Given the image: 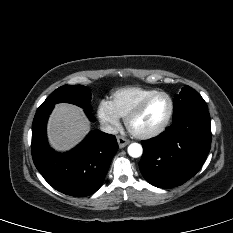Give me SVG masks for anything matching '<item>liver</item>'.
Masks as SVG:
<instances>
[{
	"label": "liver",
	"mask_w": 233,
	"mask_h": 233,
	"mask_svg": "<svg viewBox=\"0 0 233 233\" xmlns=\"http://www.w3.org/2000/svg\"><path fill=\"white\" fill-rule=\"evenodd\" d=\"M89 130L90 123L84 111L67 103L55 105L47 125L49 143L60 152L75 147Z\"/></svg>",
	"instance_id": "6515ba94"
}]
</instances>
